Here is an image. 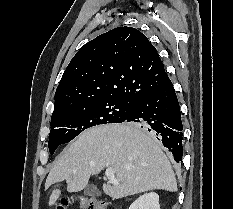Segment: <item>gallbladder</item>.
Wrapping results in <instances>:
<instances>
[{"label": "gallbladder", "instance_id": "1", "mask_svg": "<svg viewBox=\"0 0 233 209\" xmlns=\"http://www.w3.org/2000/svg\"><path fill=\"white\" fill-rule=\"evenodd\" d=\"M84 194L88 195V196H91V195H98V194H100V192L94 186H88L84 190Z\"/></svg>", "mask_w": 233, "mask_h": 209}]
</instances>
